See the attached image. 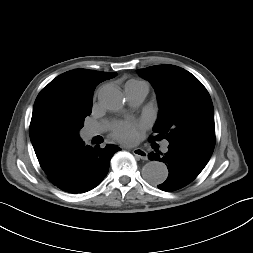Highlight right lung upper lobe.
Here are the masks:
<instances>
[{
	"mask_svg": "<svg viewBox=\"0 0 253 253\" xmlns=\"http://www.w3.org/2000/svg\"><path fill=\"white\" fill-rule=\"evenodd\" d=\"M116 75L117 73L75 69L57 76L38 94L33 106L29 134L40 166L47 175H51L66 152L81 141L56 128L51 122V115L92 104L95 87Z\"/></svg>",
	"mask_w": 253,
	"mask_h": 253,
	"instance_id": "obj_1",
	"label": "right lung upper lobe"
}]
</instances>
